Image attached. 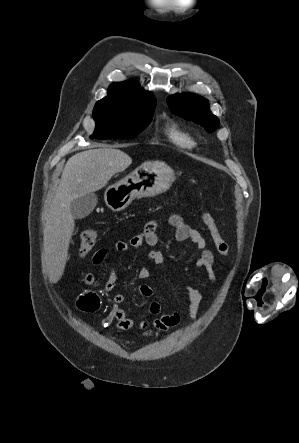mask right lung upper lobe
Returning <instances> with one entry per match:
<instances>
[{"label":"right lung upper lobe","instance_id":"right-lung-upper-lobe-1","mask_svg":"<svg viewBox=\"0 0 299 443\" xmlns=\"http://www.w3.org/2000/svg\"><path fill=\"white\" fill-rule=\"evenodd\" d=\"M98 102H120L134 106H155L156 101L151 92L132 81L114 82L109 86L108 95Z\"/></svg>","mask_w":299,"mask_h":443}]
</instances>
